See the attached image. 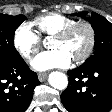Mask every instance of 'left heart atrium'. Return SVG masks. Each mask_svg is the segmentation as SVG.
<instances>
[{
	"instance_id": "obj_1",
	"label": "left heart atrium",
	"mask_w": 112,
	"mask_h": 112,
	"mask_svg": "<svg viewBox=\"0 0 112 112\" xmlns=\"http://www.w3.org/2000/svg\"><path fill=\"white\" fill-rule=\"evenodd\" d=\"M71 62V57L62 49H52L38 54L31 61V66L38 71L51 68H65Z\"/></svg>"
}]
</instances>
